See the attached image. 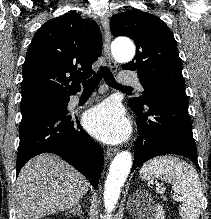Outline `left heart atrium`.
Returning <instances> with one entry per match:
<instances>
[{
  "label": "left heart atrium",
  "mask_w": 211,
  "mask_h": 219,
  "mask_svg": "<svg viewBox=\"0 0 211 219\" xmlns=\"http://www.w3.org/2000/svg\"><path fill=\"white\" fill-rule=\"evenodd\" d=\"M84 125L93 136L106 143L121 142L130 131L121 108L112 102H104L87 111Z\"/></svg>",
  "instance_id": "obj_1"
}]
</instances>
